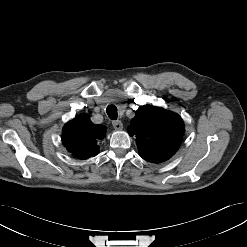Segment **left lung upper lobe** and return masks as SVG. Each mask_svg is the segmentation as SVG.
<instances>
[{
    "instance_id": "obj_1",
    "label": "left lung upper lobe",
    "mask_w": 247,
    "mask_h": 247,
    "mask_svg": "<svg viewBox=\"0 0 247 247\" xmlns=\"http://www.w3.org/2000/svg\"><path fill=\"white\" fill-rule=\"evenodd\" d=\"M181 117L163 108L140 106L128 133L136 137L139 155L154 163L169 159L179 148L184 134Z\"/></svg>"
}]
</instances>
